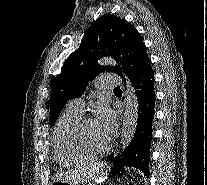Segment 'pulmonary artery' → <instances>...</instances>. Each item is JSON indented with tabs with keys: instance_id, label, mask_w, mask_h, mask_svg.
<instances>
[{
	"instance_id": "pulmonary-artery-1",
	"label": "pulmonary artery",
	"mask_w": 207,
	"mask_h": 185,
	"mask_svg": "<svg viewBox=\"0 0 207 185\" xmlns=\"http://www.w3.org/2000/svg\"><path fill=\"white\" fill-rule=\"evenodd\" d=\"M95 91H114V86H123L124 82L121 77H100L99 81L94 82ZM84 108V100L81 98L70 101L66 110L76 114H82Z\"/></svg>"
}]
</instances>
